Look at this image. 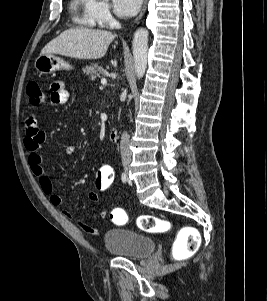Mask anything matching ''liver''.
Listing matches in <instances>:
<instances>
[{"label": "liver", "mask_w": 267, "mask_h": 301, "mask_svg": "<svg viewBox=\"0 0 267 301\" xmlns=\"http://www.w3.org/2000/svg\"><path fill=\"white\" fill-rule=\"evenodd\" d=\"M115 36L106 30L75 28L50 41L41 55L58 54L76 59L102 58Z\"/></svg>", "instance_id": "6515ba94"}]
</instances>
